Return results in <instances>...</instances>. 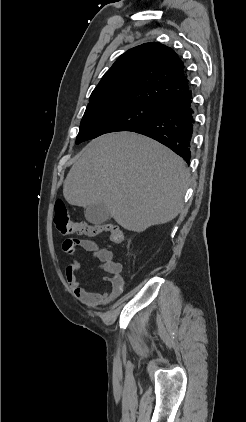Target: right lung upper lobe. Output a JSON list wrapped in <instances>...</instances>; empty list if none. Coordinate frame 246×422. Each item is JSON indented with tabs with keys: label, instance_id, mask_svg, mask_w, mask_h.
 I'll list each match as a JSON object with an SVG mask.
<instances>
[{
	"label": "right lung upper lobe",
	"instance_id": "right-lung-upper-lobe-1",
	"mask_svg": "<svg viewBox=\"0 0 246 422\" xmlns=\"http://www.w3.org/2000/svg\"><path fill=\"white\" fill-rule=\"evenodd\" d=\"M188 91L183 61L170 47L150 42L117 59L93 90L87 107L115 102L158 106Z\"/></svg>",
	"mask_w": 246,
	"mask_h": 422
}]
</instances>
